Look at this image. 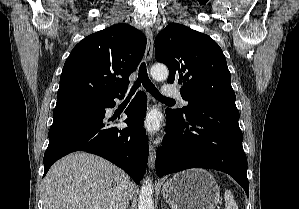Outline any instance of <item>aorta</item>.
I'll return each instance as SVG.
<instances>
[{
  "label": "aorta",
  "instance_id": "1",
  "mask_svg": "<svg viewBox=\"0 0 299 209\" xmlns=\"http://www.w3.org/2000/svg\"><path fill=\"white\" fill-rule=\"evenodd\" d=\"M150 73L155 80H165L169 74L167 67L162 64L152 66ZM152 194V182L151 180H146L140 190L138 209H154Z\"/></svg>",
  "mask_w": 299,
  "mask_h": 209
}]
</instances>
